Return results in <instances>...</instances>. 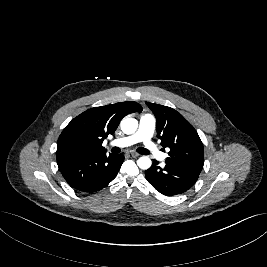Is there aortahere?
Instances as JSON below:
<instances>
[{
	"instance_id": "obj_1",
	"label": "aorta",
	"mask_w": 267,
	"mask_h": 267,
	"mask_svg": "<svg viewBox=\"0 0 267 267\" xmlns=\"http://www.w3.org/2000/svg\"><path fill=\"white\" fill-rule=\"evenodd\" d=\"M138 128V121L135 118L126 117L121 121V130L125 134H133ZM137 164L140 169H149L152 161L147 156H142L138 159Z\"/></svg>"
}]
</instances>
